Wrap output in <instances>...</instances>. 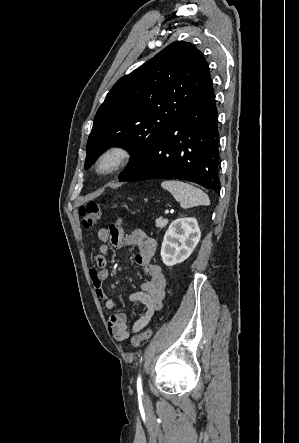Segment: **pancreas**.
<instances>
[{
    "mask_svg": "<svg viewBox=\"0 0 299 443\" xmlns=\"http://www.w3.org/2000/svg\"><path fill=\"white\" fill-rule=\"evenodd\" d=\"M155 223L157 228L162 229L168 224V219L158 218Z\"/></svg>",
    "mask_w": 299,
    "mask_h": 443,
    "instance_id": "obj_1",
    "label": "pancreas"
}]
</instances>
